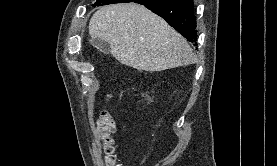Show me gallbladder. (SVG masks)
Wrapping results in <instances>:
<instances>
[{
  "label": "gallbladder",
  "mask_w": 277,
  "mask_h": 166,
  "mask_svg": "<svg viewBox=\"0 0 277 166\" xmlns=\"http://www.w3.org/2000/svg\"><path fill=\"white\" fill-rule=\"evenodd\" d=\"M90 43L104 54H110V45L108 42L98 38H93L90 40Z\"/></svg>",
  "instance_id": "bac80fb5"
}]
</instances>
